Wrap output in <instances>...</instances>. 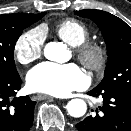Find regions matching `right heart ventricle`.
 I'll return each instance as SVG.
<instances>
[{
	"mask_svg": "<svg viewBox=\"0 0 131 131\" xmlns=\"http://www.w3.org/2000/svg\"><path fill=\"white\" fill-rule=\"evenodd\" d=\"M56 34L67 44L77 47L89 37L87 26L76 19H65L57 23Z\"/></svg>",
	"mask_w": 131,
	"mask_h": 131,
	"instance_id": "obj_1",
	"label": "right heart ventricle"
}]
</instances>
